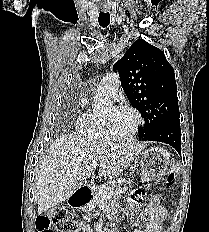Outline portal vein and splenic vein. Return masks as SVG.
Listing matches in <instances>:
<instances>
[{
  "label": "portal vein and splenic vein",
  "instance_id": "1",
  "mask_svg": "<svg viewBox=\"0 0 209 232\" xmlns=\"http://www.w3.org/2000/svg\"><path fill=\"white\" fill-rule=\"evenodd\" d=\"M97 165H98L97 161H93L92 164H91L92 167H96ZM115 195L116 194H114V193H108V194L104 195L103 199L104 200H110V199L114 198Z\"/></svg>",
  "mask_w": 209,
  "mask_h": 232
}]
</instances>
